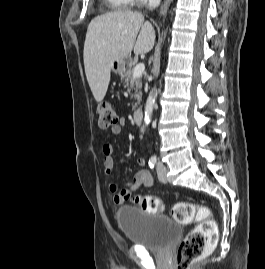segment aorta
Masks as SVG:
<instances>
[{
	"instance_id": "aorta-1",
	"label": "aorta",
	"mask_w": 265,
	"mask_h": 269,
	"mask_svg": "<svg viewBox=\"0 0 265 269\" xmlns=\"http://www.w3.org/2000/svg\"><path fill=\"white\" fill-rule=\"evenodd\" d=\"M157 94L152 90L149 93V96L146 101L145 110H144V122L149 124L151 122L153 109L156 103Z\"/></svg>"
}]
</instances>
